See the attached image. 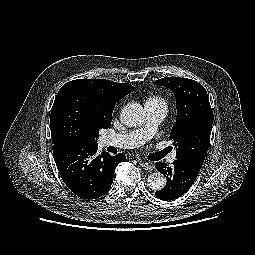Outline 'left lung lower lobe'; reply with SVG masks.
Masks as SVG:
<instances>
[{"mask_svg":"<svg viewBox=\"0 0 255 255\" xmlns=\"http://www.w3.org/2000/svg\"><path fill=\"white\" fill-rule=\"evenodd\" d=\"M155 167L166 179V185L155 194L162 200H174L182 196L196 180L202 166L186 159H176L172 167L156 162Z\"/></svg>","mask_w":255,"mask_h":255,"instance_id":"obj_1","label":"left lung lower lobe"}]
</instances>
